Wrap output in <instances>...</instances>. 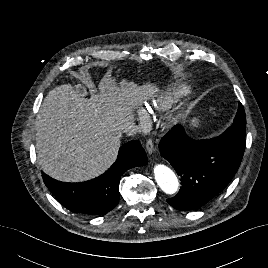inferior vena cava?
<instances>
[{
    "instance_id": "1",
    "label": "inferior vena cava",
    "mask_w": 268,
    "mask_h": 268,
    "mask_svg": "<svg viewBox=\"0 0 268 268\" xmlns=\"http://www.w3.org/2000/svg\"><path fill=\"white\" fill-rule=\"evenodd\" d=\"M122 132L128 136H134L138 133V126L134 123L125 125L122 129Z\"/></svg>"
}]
</instances>
